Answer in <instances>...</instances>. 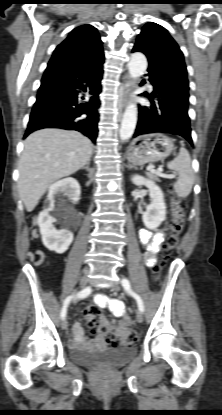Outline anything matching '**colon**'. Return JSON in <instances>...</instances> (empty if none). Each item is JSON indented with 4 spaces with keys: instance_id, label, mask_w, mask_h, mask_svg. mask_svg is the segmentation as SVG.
I'll list each match as a JSON object with an SVG mask.
<instances>
[{
    "instance_id": "obj_1",
    "label": "colon",
    "mask_w": 222,
    "mask_h": 415,
    "mask_svg": "<svg viewBox=\"0 0 222 415\" xmlns=\"http://www.w3.org/2000/svg\"><path fill=\"white\" fill-rule=\"evenodd\" d=\"M187 202L183 197L176 196L173 206V220L169 227L168 237L164 250V261L167 260L180 241V236L185 227ZM163 261V262H164ZM163 263L153 267V274L158 276ZM87 326L92 333L105 334L108 336L112 346L117 347L122 344L134 343L139 339L137 330H120L110 325L103 317L101 310L97 306H89L84 311Z\"/></svg>"
}]
</instances>
